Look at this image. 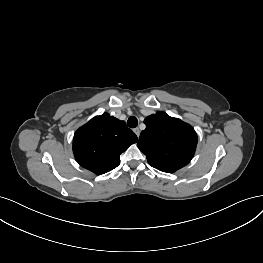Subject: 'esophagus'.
<instances>
[{"mask_svg": "<svg viewBox=\"0 0 263 263\" xmlns=\"http://www.w3.org/2000/svg\"><path fill=\"white\" fill-rule=\"evenodd\" d=\"M133 131H134V133L136 134V136L139 137V135H140V129H139V128H135Z\"/></svg>", "mask_w": 263, "mask_h": 263, "instance_id": "obj_1", "label": "esophagus"}]
</instances>
